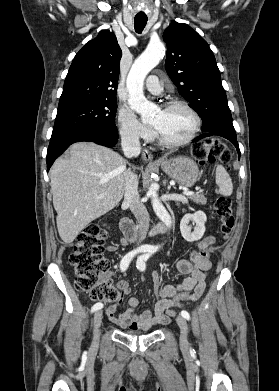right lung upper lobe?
<instances>
[{
    "label": "right lung upper lobe",
    "mask_w": 279,
    "mask_h": 391,
    "mask_svg": "<svg viewBox=\"0 0 279 391\" xmlns=\"http://www.w3.org/2000/svg\"><path fill=\"white\" fill-rule=\"evenodd\" d=\"M121 56L114 33L102 30L74 57L58 109L95 100H116Z\"/></svg>",
    "instance_id": "obj_1"
}]
</instances>
